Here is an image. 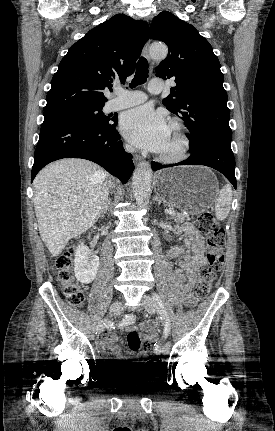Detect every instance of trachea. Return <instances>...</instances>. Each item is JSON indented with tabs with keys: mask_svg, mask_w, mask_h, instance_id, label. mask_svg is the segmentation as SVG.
<instances>
[{
	"mask_svg": "<svg viewBox=\"0 0 275 431\" xmlns=\"http://www.w3.org/2000/svg\"><path fill=\"white\" fill-rule=\"evenodd\" d=\"M148 68L149 66L146 58L141 57L137 63L134 79L130 83L131 88L144 84L147 81Z\"/></svg>",
	"mask_w": 275,
	"mask_h": 431,
	"instance_id": "obj_1",
	"label": "trachea"
}]
</instances>
